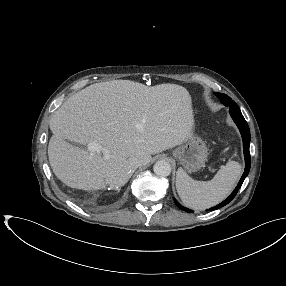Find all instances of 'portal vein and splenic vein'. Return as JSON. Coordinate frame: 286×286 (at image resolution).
<instances>
[{
  "label": "portal vein and splenic vein",
  "mask_w": 286,
  "mask_h": 286,
  "mask_svg": "<svg viewBox=\"0 0 286 286\" xmlns=\"http://www.w3.org/2000/svg\"><path fill=\"white\" fill-rule=\"evenodd\" d=\"M87 150L93 154L95 152H102L105 158L109 157L108 150L96 143H89L87 145Z\"/></svg>",
  "instance_id": "18ae733b"
}]
</instances>
